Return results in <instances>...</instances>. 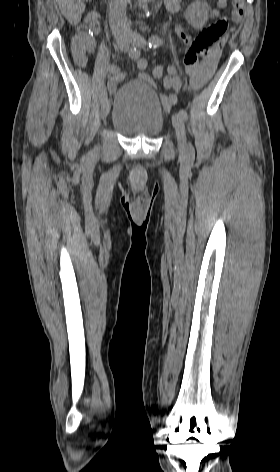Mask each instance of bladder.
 I'll use <instances>...</instances> for the list:
<instances>
[{"label":"bladder","mask_w":280,"mask_h":472,"mask_svg":"<svg viewBox=\"0 0 280 472\" xmlns=\"http://www.w3.org/2000/svg\"><path fill=\"white\" fill-rule=\"evenodd\" d=\"M164 122L159 95L148 83L132 80L116 91L111 124L121 134L155 137L161 133Z\"/></svg>","instance_id":"1"}]
</instances>
